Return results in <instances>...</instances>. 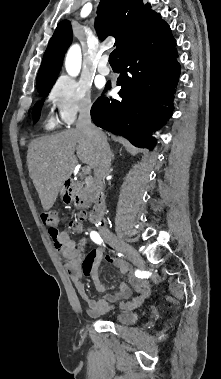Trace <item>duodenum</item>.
Here are the masks:
<instances>
[{"instance_id": "1", "label": "duodenum", "mask_w": 221, "mask_h": 379, "mask_svg": "<svg viewBox=\"0 0 221 379\" xmlns=\"http://www.w3.org/2000/svg\"><path fill=\"white\" fill-rule=\"evenodd\" d=\"M78 185L74 180H67L65 183V199L67 202H75L78 200L77 197ZM105 209V198L104 193L99 191L96 194L93 209L90 213L89 220L92 223H96L101 220Z\"/></svg>"}]
</instances>
